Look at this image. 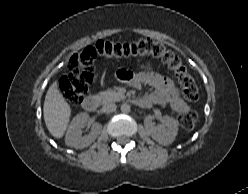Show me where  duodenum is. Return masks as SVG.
Listing matches in <instances>:
<instances>
[{
  "label": "duodenum",
  "mask_w": 248,
  "mask_h": 194,
  "mask_svg": "<svg viewBox=\"0 0 248 194\" xmlns=\"http://www.w3.org/2000/svg\"><path fill=\"white\" fill-rule=\"evenodd\" d=\"M136 104L143 106L144 102L142 100H136ZM82 106L85 110L94 112L98 106V98L93 95L88 96L84 99Z\"/></svg>",
  "instance_id": "duodenum-1"
}]
</instances>
